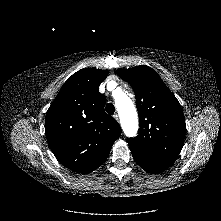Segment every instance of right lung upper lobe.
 <instances>
[{
  "mask_svg": "<svg viewBox=\"0 0 221 221\" xmlns=\"http://www.w3.org/2000/svg\"><path fill=\"white\" fill-rule=\"evenodd\" d=\"M107 75L96 68L74 73L46 114L45 131L52 152L77 173L100 166L121 134L118 122L105 113L106 98L98 90Z\"/></svg>",
  "mask_w": 221,
  "mask_h": 221,
  "instance_id": "1",
  "label": "right lung upper lobe"
}]
</instances>
